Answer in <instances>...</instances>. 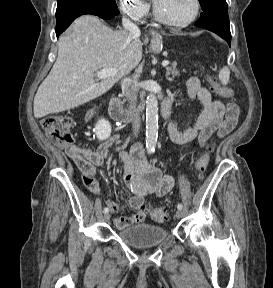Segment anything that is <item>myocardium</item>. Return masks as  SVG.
Segmentation results:
<instances>
[{
    "mask_svg": "<svg viewBox=\"0 0 273 288\" xmlns=\"http://www.w3.org/2000/svg\"><path fill=\"white\" fill-rule=\"evenodd\" d=\"M194 5H195V8H194L193 14L188 19L183 20V21H172V20L166 19L159 13L155 5L153 7V16L156 21H158L159 23L163 25H166L169 27H176V28L186 27L192 22H194L200 13V9H201L200 0H194Z\"/></svg>",
    "mask_w": 273,
    "mask_h": 288,
    "instance_id": "1",
    "label": "myocardium"
}]
</instances>
